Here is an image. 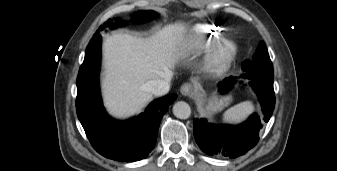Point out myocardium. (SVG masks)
Wrapping results in <instances>:
<instances>
[{
    "label": "myocardium",
    "instance_id": "f54148a6",
    "mask_svg": "<svg viewBox=\"0 0 337 171\" xmlns=\"http://www.w3.org/2000/svg\"><path fill=\"white\" fill-rule=\"evenodd\" d=\"M236 56V46L232 42L216 44L207 57V65L213 71H223L230 66Z\"/></svg>",
    "mask_w": 337,
    "mask_h": 171
}]
</instances>
